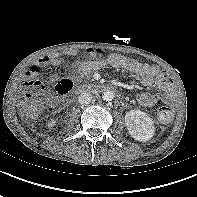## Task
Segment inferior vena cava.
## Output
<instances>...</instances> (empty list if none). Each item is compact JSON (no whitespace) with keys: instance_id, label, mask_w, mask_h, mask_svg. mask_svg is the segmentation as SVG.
Listing matches in <instances>:
<instances>
[{"instance_id":"1","label":"inferior vena cava","mask_w":197,"mask_h":197,"mask_svg":"<svg viewBox=\"0 0 197 197\" xmlns=\"http://www.w3.org/2000/svg\"><path fill=\"white\" fill-rule=\"evenodd\" d=\"M91 100H92V95L86 92L81 93L78 97V101L80 104H89Z\"/></svg>"}]
</instances>
